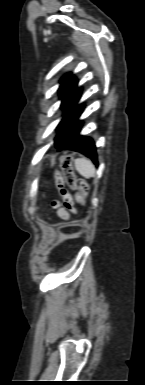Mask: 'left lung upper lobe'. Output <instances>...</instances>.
<instances>
[{"label": "left lung upper lobe", "mask_w": 145, "mask_h": 385, "mask_svg": "<svg viewBox=\"0 0 145 385\" xmlns=\"http://www.w3.org/2000/svg\"><path fill=\"white\" fill-rule=\"evenodd\" d=\"M80 96V89L77 88V81L72 75H66L61 80L60 97L65 115H68L76 106Z\"/></svg>", "instance_id": "obj_1"}]
</instances>
